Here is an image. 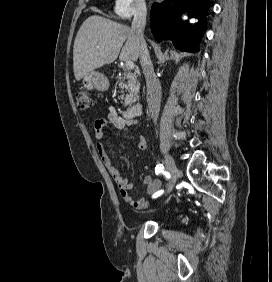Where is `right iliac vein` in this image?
Returning <instances> with one entry per match:
<instances>
[{
    "mask_svg": "<svg viewBox=\"0 0 272 282\" xmlns=\"http://www.w3.org/2000/svg\"><path fill=\"white\" fill-rule=\"evenodd\" d=\"M165 165H166L167 170L170 173V180H169L168 189H167V193H170L177 179L178 168L173 158L169 154L165 156Z\"/></svg>",
    "mask_w": 272,
    "mask_h": 282,
    "instance_id": "right-iliac-vein-1",
    "label": "right iliac vein"
}]
</instances>
